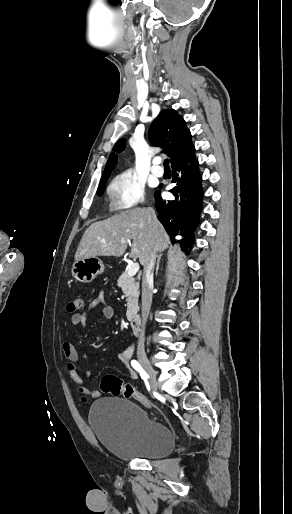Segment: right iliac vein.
I'll use <instances>...</instances> for the list:
<instances>
[{"label":"right iliac vein","mask_w":292,"mask_h":514,"mask_svg":"<svg viewBox=\"0 0 292 514\" xmlns=\"http://www.w3.org/2000/svg\"><path fill=\"white\" fill-rule=\"evenodd\" d=\"M139 362H140V364L142 365V367L145 369V371L148 374L152 390L157 392L158 391V386H157L155 371L152 368V366L150 365L147 357L139 356Z\"/></svg>","instance_id":"1"}]
</instances>
